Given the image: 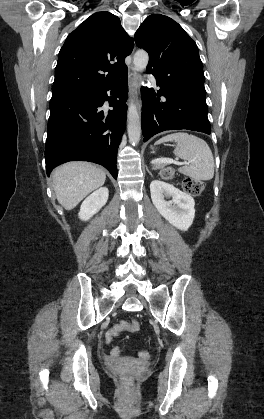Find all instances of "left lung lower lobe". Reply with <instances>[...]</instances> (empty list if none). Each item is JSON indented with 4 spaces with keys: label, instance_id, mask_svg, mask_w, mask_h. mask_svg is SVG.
<instances>
[{
    "label": "left lung lower lobe",
    "instance_id": "obj_1",
    "mask_svg": "<svg viewBox=\"0 0 264 419\" xmlns=\"http://www.w3.org/2000/svg\"><path fill=\"white\" fill-rule=\"evenodd\" d=\"M155 78L159 90L141 88L143 141L165 130L187 129L210 134L204 84L188 89L183 82L165 83Z\"/></svg>",
    "mask_w": 264,
    "mask_h": 419
}]
</instances>
